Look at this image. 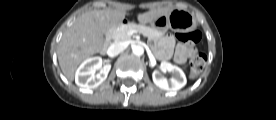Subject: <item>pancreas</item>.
Returning <instances> with one entry per match:
<instances>
[{"label":"pancreas","instance_id":"pancreas-1","mask_svg":"<svg viewBox=\"0 0 276 120\" xmlns=\"http://www.w3.org/2000/svg\"><path fill=\"white\" fill-rule=\"evenodd\" d=\"M130 30H136L140 33H142L144 36L152 39V38H158L162 36V33L159 31H156L152 28H149L144 25H138L134 23H129L127 25L121 26L117 30L113 32V39L115 41H126L130 39V36L128 35V32Z\"/></svg>","mask_w":276,"mask_h":120}]
</instances>
